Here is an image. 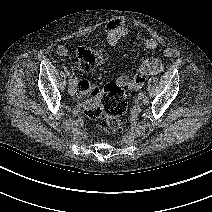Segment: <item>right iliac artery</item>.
<instances>
[{
    "label": "right iliac artery",
    "instance_id": "right-iliac-artery-1",
    "mask_svg": "<svg viewBox=\"0 0 212 212\" xmlns=\"http://www.w3.org/2000/svg\"><path fill=\"white\" fill-rule=\"evenodd\" d=\"M74 83V79L72 78V76L69 79V84L72 85Z\"/></svg>",
    "mask_w": 212,
    "mask_h": 212
}]
</instances>
